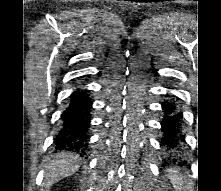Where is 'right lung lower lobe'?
<instances>
[{"instance_id": "right-lung-lower-lobe-1", "label": "right lung lower lobe", "mask_w": 221, "mask_h": 191, "mask_svg": "<svg viewBox=\"0 0 221 191\" xmlns=\"http://www.w3.org/2000/svg\"><path fill=\"white\" fill-rule=\"evenodd\" d=\"M92 101L86 90H76L61 116V129L54 143L58 149L86 154Z\"/></svg>"}]
</instances>
